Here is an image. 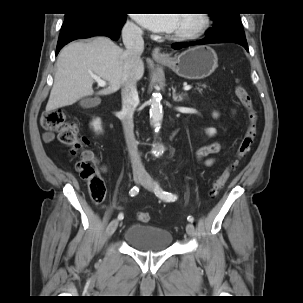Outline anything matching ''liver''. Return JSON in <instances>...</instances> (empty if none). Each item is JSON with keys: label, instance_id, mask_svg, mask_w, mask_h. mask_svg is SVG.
Returning <instances> with one entry per match:
<instances>
[{"label": "liver", "instance_id": "1", "mask_svg": "<svg viewBox=\"0 0 303 303\" xmlns=\"http://www.w3.org/2000/svg\"><path fill=\"white\" fill-rule=\"evenodd\" d=\"M54 84L46 111L76 103L79 99L94 94L92 75L109 83V87L97 92L109 95L120 89L124 75V51L107 37H94L88 42H72L58 55ZM144 74V63L140 60L135 79Z\"/></svg>", "mask_w": 303, "mask_h": 303}]
</instances>
